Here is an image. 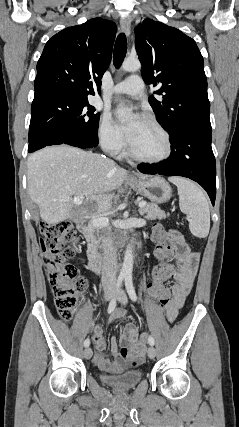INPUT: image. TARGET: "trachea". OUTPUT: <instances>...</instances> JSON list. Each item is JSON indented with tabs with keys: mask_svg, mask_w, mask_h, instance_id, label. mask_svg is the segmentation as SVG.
<instances>
[{
	"mask_svg": "<svg viewBox=\"0 0 239 427\" xmlns=\"http://www.w3.org/2000/svg\"><path fill=\"white\" fill-rule=\"evenodd\" d=\"M127 53V39L124 33H120L117 36L114 52H113V62L116 68H119L126 56Z\"/></svg>",
	"mask_w": 239,
	"mask_h": 427,
	"instance_id": "trachea-1",
	"label": "trachea"
}]
</instances>
